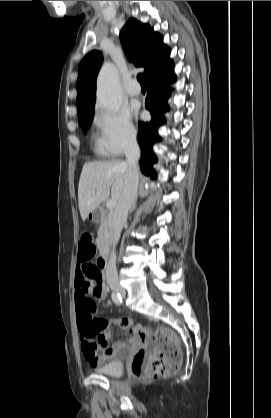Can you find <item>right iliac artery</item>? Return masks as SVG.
I'll return each mask as SVG.
<instances>
[{
    "instance_id": "right-iliac-artery-1",
    "label": "right iliac artery",
    "mask_w": 271,
    "mask_h": 418,
    "mask_svg": "<svg viewBox=\"0 0 271 418\" xmlns=\"http://www.w3.org/2000/svg\"><path fill=\"white\" fill-rule=\"evenodd\" d=\"M111 297L115 304L120 305L122 303V298L119 293L113 292Z\"/></svg>"
}]
</instances>
